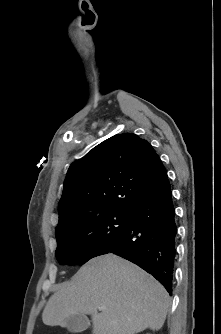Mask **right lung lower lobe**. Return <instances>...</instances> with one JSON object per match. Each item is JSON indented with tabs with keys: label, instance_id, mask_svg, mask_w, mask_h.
<instances>
[{
	"label": "right lung lower lobe",
	"instance_id": "obj_1",
	"mask_svg": "<svg viewBox=\"0 0 221 334\" xmlns=\"http://www.w3.org/2000/svg\"><path fill=\"white\" fill-rule=\"evenodd\" d=\"M176 236L175 209L167 179L131 212L119 242L100 255L114 253L137 264L172 295Z\"/></svg>",
	"mask_w": 221,
	"mask_h": 334
}]
</instances>
